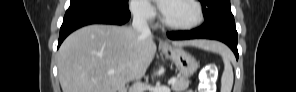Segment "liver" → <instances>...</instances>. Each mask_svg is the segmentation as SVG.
<instances>
[{
  "instance_id": "liver-1",
  "label": "liver",
  "mask_w": 296,
  "mask_h": 92,
  "mask_svg": "<svg viewBox=\"0 0 296 92\" xmlns=\"http://www.w3.org/2000/svg\"><path fill=\"white\" fill-rule=\"evenodd\" d=\"M175 47L213 50L206 40L174 41ZM153 37L134 28L89 25L69 35L58 51V77L63 92H121L130 79L143 77L154 59ZM116 73L108 74L109 70Z\"/></svg>"
}]
</instances>
